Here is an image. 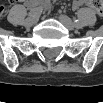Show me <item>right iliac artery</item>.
I'll return each instance as SVG.
<instances>
[{
    "instance_id": "82829eb1",
    "label": "right iliac artery",
    "mask_w": 103,
    "mask_h": 103,
    "mask_svg": "<svg viewBox=\"0 0 103 103\" xmlns=\"http://www.w3.org/2000/svg\"><path fill=\"white\" fill-rule=\"evenodd\" d=\"M42 12V8L41 7H36L30 10L29 12V16L30 17H38Z\"/></svg>"
}]
</instances>
